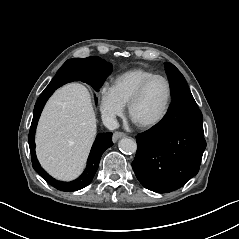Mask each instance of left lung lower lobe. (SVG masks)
Segmentation results:
<instances>
[{"mask_svg": "<svg viewBox=\"0 0 239 239\" xmlns=\"http://www.w3.org/2000/svg\"><path fill=\"white\" fill-rule=\"evenodd\" d=\"M136 139L132 168L145 188L166 193L187 183L206 148L202 113L191 92L175 95L164 118Z\"/></svg>", "mask_w": 239, "mask_h": 239, "instance_id": "left-lung-lower-lobe-1", "label": "left lung lower lobe"}]
</instances>
